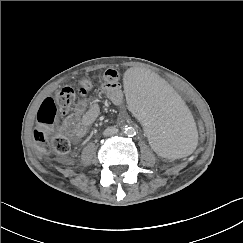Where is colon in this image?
<instances>
[{"instance_id":"1","label":"colon","mask_w":243,"mask_h":243,"mask_svg":"<svg viewBox=\"0 0 243 243\" xmlns=\"http://www.w3.org/2000/svg\"><path fill=\"white\" fill-rule=\"evenodd\" d=\"M91 90V83L83 80L79 82L76 89L64 87L58 90L52 97L43 101L37 116V126L33 131V141L35 149L40 153H45L49 149V138L53 134V124L58 112H67L73 104L76 96H86ZM194 116L197 130V144L194 151L197 154L202 153L205 148L206 127L200 113L195 107L190 109ZM51 146L60 153L65 154L71 148L70 140L65 135H55L51 138Z\"/></svg>"}]
</instances>
